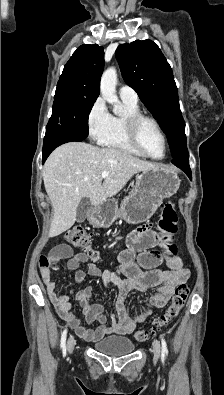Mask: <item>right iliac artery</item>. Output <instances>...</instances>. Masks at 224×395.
<instances>
[{
  "mask_svg": "<svg viewBox=\"0 0 224 395\" xmlns=\"http://www.w3.org/2000/svg\"><path fill=\"white\" fill-rule=\"evenodd\" d=\"M66 337H67V329L62 332L61 340H60V347L62 349L63 355H66Z\"/></svg>",
  "mask_w": 224,
  "mask_h": 395,
  "instance_id": "82829eb1",
  "label": "right iliac artery"
}]
</instances>
